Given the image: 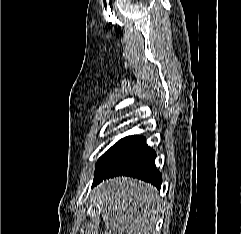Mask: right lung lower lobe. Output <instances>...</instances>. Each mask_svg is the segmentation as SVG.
I'll return each mask as SVG.
<instances>
[{"mask_svg":"<svg viewBox=\"0 0 241 234\" xmlns=\"http://www.w3.org/2000/svg\"><path fill=\"white\" fill-rule=\"evenodd\" d=\"M155 157V151L146 145L143 136L125 137L99 158L93 185L106 178L126 175L150 182L160 189L162 178L154 166Z\"/></svg>","mask_w":241,"mask_h":234,"instance_id":"98d812e1","label":"right lung lower lobe"}]
</instances>
